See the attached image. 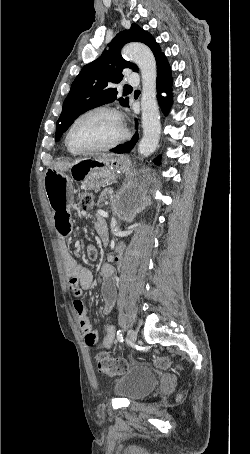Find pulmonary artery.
<instances>
[{"label": "pulmonary artery", "mask_w": 250, "mask_h": 454, "mask_svg": "<svg viewBox=\"0 0 250 454\" xmlns=\"http://www.w3.org/2000/svg\"><path fill=\"white\" fill-rule=\"evenodd\" d=\"M126 82L129 84H138L139 83L138 74L134 72L130 73L126 78Z\"/></svg>", "instance_id": "obj_1"}]
</instances>
